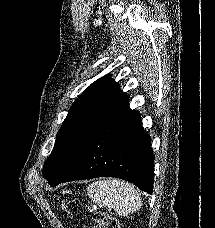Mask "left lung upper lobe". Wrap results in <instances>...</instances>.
<instances>
[{
	"mask_svg": "<svg viewBox=\"0 0 215 228\" xmlns=\"http://www.w3.org/2000/svg\"><path fill=\"white\" fill-rule=\"evenodd\" d=\"M128 100L109 75L91 84L71 106L57 133L43 167L47 181L55 178L86 140Z\"/></svg>",
	"mask_w": 215,
	"mask_h": 228,
	"instance_id": "obj_1",
	"label": "left lung upper lobe"
}]
</instances>
